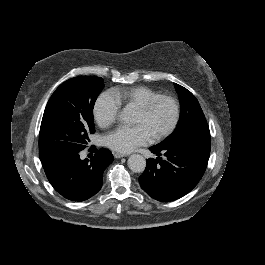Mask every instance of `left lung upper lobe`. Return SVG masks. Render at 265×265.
Returning <instances> with one entry per match:
<instances>
[{
	"mask_svg": "<svg viewBox=\"0 0 265 265\" xmlns=\"http://www.w3.org/2000/svg\"><path fill=\"white\" fill-rule=\"evenodd\" d=\"M174 86L180 100V119L174 132L156 145L159 147L177 143L189 137H210L209 127L198 100L186 88L176 83Z\"/></svg>",
	"mask_w": 265,
	"mask_h": 265,
	"instance_id": "1",
	"label": "left lung upper lobe"
}]
</instances>
